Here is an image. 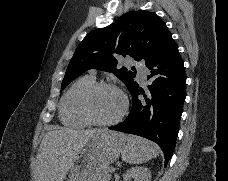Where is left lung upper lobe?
Instances as JSON below:
<instances>
[{
  "instance_id": "1",
  "label": "left lung upper lobe",
  "mask_w": 228,
  "mask_h": 181,
  "mask_svg": "<svg viewBox=\"0 0 228 181\" xmlns=\"http://www.w3.org/2000/svg\"><path fill=\"white\" fill-rule=\"evenodd\" d=\"M171 37L154 13L130 11L115 23L93 30L79 43L65 73L61 90L85 71L95 68L115 74L129 91L137 84L136 70L118 65L117 56L129 55L145 63Z\"/></svg>"
}]
</instances>
